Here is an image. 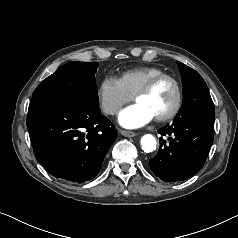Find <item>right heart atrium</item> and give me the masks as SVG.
<instances>
[{"label":"right heart atrium","instance_id":"obj_1","mask_svg":"<svg viewBox=\"0 0 238 238\" xmlns=\"http://www.w3.org/2000/svg\"><path fill=\"white\" fill-rule=\"evenodd\" d=\"M98 98L106 114L116 115L123 105L131 101L132 96L124 90L118 78L107 76L98 87Z\"/></svg>","mask_w":238,"mask_h":238}]
</instances>
